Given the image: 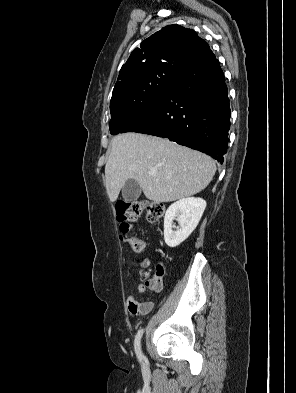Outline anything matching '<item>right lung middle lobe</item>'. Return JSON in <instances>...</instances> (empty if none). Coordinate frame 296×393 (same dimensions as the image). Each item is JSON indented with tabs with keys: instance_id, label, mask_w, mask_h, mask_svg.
<instances>
[{
	"instance_id": "dd1d6c3e",
	"label": "right lung middle lobe",
	"mask_w": 296,
	"mask_h": 393,
	"mask_svg": "<svg viewBox=\"0 0 296 393\" xmlns=\"http://www.w3.org/2000/svg\"><path fill=\"white\" fill-rule=\"evenodd\" d=\"M174 78H157L151 80L137 96L110 104V133L116 135L132 120L155 103L158 97L174 83Z\"/></svg>"
}]
</instances>
